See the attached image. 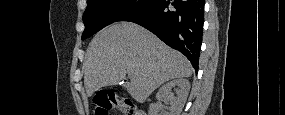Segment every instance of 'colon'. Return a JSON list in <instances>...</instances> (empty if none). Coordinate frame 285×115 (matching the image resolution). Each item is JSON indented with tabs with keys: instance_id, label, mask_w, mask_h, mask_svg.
I'll return each instance as SVG.
<instances>
[{
	"instance_id": "1",
	"label": "colon",
	"mask_w": 285,
	"mask_h": 115,
	"mask_svg": "<svg viewBox=\"0 0 285 115\" xmlns=\"http://www.w3.org/2000/svg\"><path fill=\"white\" fill-rule=\"evenodd\" d=\"M94 102L96 115H108L111 110H117L124 115H144L136 109L131 100L118 98L112 92H101Z\"/></svg>"
}]
</instances>
